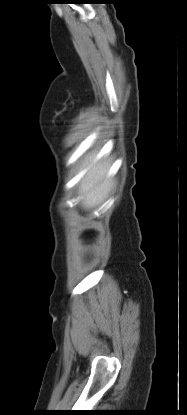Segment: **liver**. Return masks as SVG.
I'll use <instances>...</instances> for the list:
<instances>
[{"mask_svg": "<svg viewBox=\"0 0 187 415\" xmlns=\"http://www.w3.org/2000/svg\"><path fill=\"white\" fill-rule=\"evenodd\" d=\"M87 169L80 182L79 194L82 197V207L86 210L99 206L108 196L113 182L108 172L110 163L107 160H96V154L90 155L84 165Z\"/></svg>", "mask_w": 187, "mask_h": 415, "instance_id": "liver-1", "label": "liver"}]
</instances>
